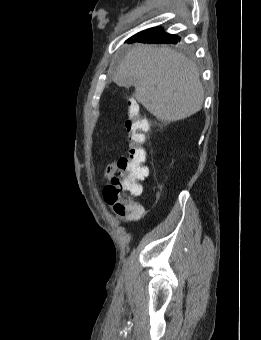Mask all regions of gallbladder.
Returning <instances> with one entry per match:
<instances>
[{"label":"gallbladder","mask_w":261,"mask_h":340,"mask_svg":"<svg viewBox=\"0 0 261 340\" xmlns=\"http://www.w3.org/2000/svg\"><path fill=\"white\" fill-rule=\"evenodd\" d=\"M129 86H132V85H130V84H126V87H129Z\"/></svg>","instance_id":"1"}]
</instances>
